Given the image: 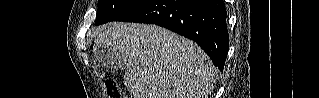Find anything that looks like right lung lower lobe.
Instances as JSON below:
<instances>
[{
  "label": "right lung lower lobe",
  "mask_w": 319,
  "mask_h": 98,
  "mask_svg": "<svg viewBox=\"0 0 319 98\" xmlns=\"http://www.w3.org/2000/svg\"><path fill=\"white\" fill-rule=\"evenodd\" d=\"M223 0H146L115 19L165 27L195 41L221 71L229 47Z\"/></svg>",
  "instance_id": "98d812e1"
}]
</instances>
